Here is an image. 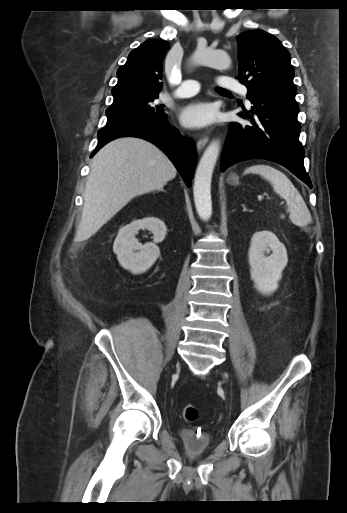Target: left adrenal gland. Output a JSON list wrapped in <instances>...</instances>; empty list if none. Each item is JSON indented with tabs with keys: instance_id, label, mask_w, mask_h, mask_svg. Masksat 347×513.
I'll use <instances>...</instances> for the list:
<instances>
[{
	"instance_id": "1",
	"label": "left adrenal gland",
	"mask_w": 347,
	"mask_h": 513,
	"mask_svg": "<svg viewBox=\"0 0 347 513\" xmlns=\"http://www.w3.org/2000/svg\"><path fill=\"white\" fill-rule=\"evenodd\" d=\"M242 207H243V211H247L245 204H242Z\"/></svg>"
}]
</instances>
